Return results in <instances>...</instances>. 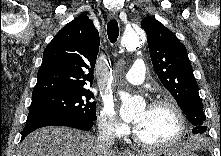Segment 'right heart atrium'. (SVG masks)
Listing matches in <instances>:
<instances>
[{
	"label": "right heart atrium",
	"instance_id": "d8ad5b80",
	"mask_svg": "<svg viewBox=\"0 0 221 156\" xmlns=\"http://www.w3.org/2000/svg\"><path fill=\"white\" fill-rule=\"evenodd\" d=\"M99 131L106 136L121 137L128 133V126L120 121L113 107L109 103H104L98 114Z\"/></svg>",
	"mask_w": 221,
	"mask_h": 156
}]
</instances>
